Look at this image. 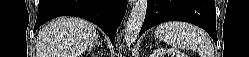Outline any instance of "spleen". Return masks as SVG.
<instances>
[{
	"label": "spleen",
	"instance_id": "1",
	"mask_svg": "<svg viewBox=\"0 0 249 57\" xmlns=\"http://www.w3.org/2000/svg\"><path fill=\"white\" fill-rule=\"evenodd\" d=\"M155 37L172 47L192 50L201 57H213V45L200 28L186 22L170 21L157 26Z\"/></svg>",
	"mask_w": 249,
	"mask_h": 57
}]
</instances>
